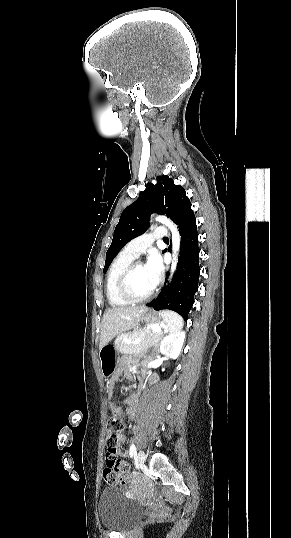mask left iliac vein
<instances>
[{"instance_id": "obj_1", "label": "left iliac vein", "mask_w": 291, "mask_h": 538, "mask_svg": "<svg viewBox=\"0 0 291 538\" xmlns=\"http://www.w3.org/2000/svg\"><path fill=\"white\" fill-rule=\"evenodd\" d=\"M145 460H146V455L143 450H140L137 454V461L141 465L145 463Z\"/></svg>"}]
</instances>
